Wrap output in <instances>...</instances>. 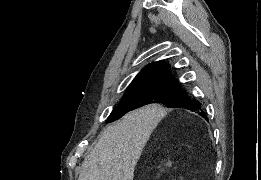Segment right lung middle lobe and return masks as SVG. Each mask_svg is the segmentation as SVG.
Wrapping results in <instances>:
<instances>
[{
	"label": "right lung middle lobe",
	"instance_id": "1",
	"mask_svg": "<svg viewBox=\"0 0 261 180\" xmlns=\"http://www.w3.org/2000/svg\"><path fill=\"white\" fill-rule=\"evenodd\" d=\"M187 98L186 92L178 86L177 81L129 87L106 122H113L125 113L146 104L161 103L172 108Z\"/></svg>",
	"mask_w": 261,
	"mask_h": 180
}]
</instances>
